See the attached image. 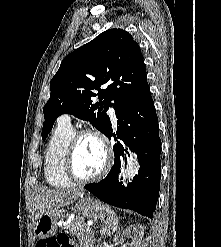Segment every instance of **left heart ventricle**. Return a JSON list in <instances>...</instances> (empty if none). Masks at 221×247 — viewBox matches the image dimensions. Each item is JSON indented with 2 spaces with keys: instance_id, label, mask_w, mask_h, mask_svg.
I'll use <instances>...</instances> for the list:
<instances>
[{
  "instance_id": "b2bd125f",
  "label": "left heart ventricle",
  "mask_w": 221,
  "mask_h": 247,
  "mask_svg": "<svg viewBox=\"0 0 221 247\" xmlns=\"http://www.w3.org/2000/svg\"><path fill=\"white\" fill-rule=\"evenodd\" d=\"M105 155L100 142L92 137L81 138L74 159L76 172L81 177H90L97 174L103 167Z\"/></svg>"
}]
</instances>
